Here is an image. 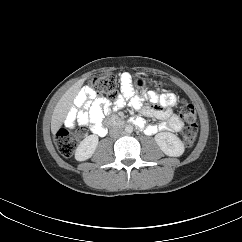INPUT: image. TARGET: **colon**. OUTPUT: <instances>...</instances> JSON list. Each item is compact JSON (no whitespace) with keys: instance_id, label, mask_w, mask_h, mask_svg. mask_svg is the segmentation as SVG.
<instances>
[{"instance_id":"5ec220e1","label":"colon","mask_w":242,"mask_h":242,"mask_svg":"<svg viewBox=\"0 0 242 242\" xmlns=\"http://www.w3.org/2000/svg\"><path fill=\"white\" fill-rule=\"evenodd\" d=\"M151 86L161 88L162 84L158 81H151ZM93 92L98 98L115 99L118 96V81L114 74L104 73L95 78L90 84ZM180 117L184 122L182 129V140L186 146L194 144L197 137V116L194 106L186 101L182 102ZM80 129V123L68 125L61 128L56 135V145L60 154L64 157H70L78 142L74 130Z\"/></svg>"}]
</instances>
